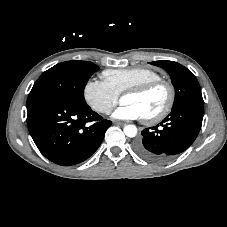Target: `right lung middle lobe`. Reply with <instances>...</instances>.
Segmentation results:
<instances>
[{
	"label": "right lung middle lobe",
	"instance_id": "obj_1",
	"mask_svg": "<svg viewBox=\"0 0 227 227\" xmlns=\"http://www.w3.org/2000/svg\"><path fill=\"white\" fill-rule=\"evenodd\" d=\"M99 69L90 61L72 60L59 63L42 75L31 89L27 105L38 100L65 101L86 104L83 98V86L88 77Z\"/></svg>",
	"mask_w": 227,
	"mask_h": 227
}]
</instances>
